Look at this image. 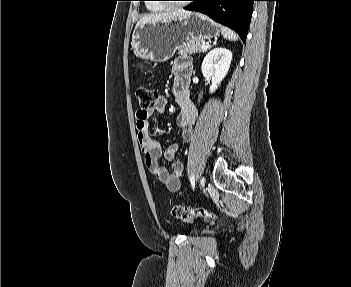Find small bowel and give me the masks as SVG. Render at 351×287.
<instances>
[{
    "label": "small bowel",
    "mask_w": 351,
    "mask_h": 287,
    "mask_svg": "<svg viewBox=\"0 0 351 287\" xmlns=\"http://www.w3.org/2000/svg\"><path fill=\"white\" fill-rule=\"evenodd\" d=\"M189 69L190 62L185 58L175 61L172 66L174 74L173 93L180 107L177 125L181 128L183 138L186 141L191 140L193 126L196 121V109L190 99L188 88ZM166 106V97L159 95L150 107L138 109L136 112V129L139 144L145 154V162L149 171L169 190L176 191L180 188L181 178L184 173L183 164L176 160L178 146L171 145L164 148L161 143L151 135L150 118L154 114L163 113ZM161 157L172 163L171 170L159 164V159Z\"/></svg>",
    "instance_id": "c3829d8e"
}]
</instances>
